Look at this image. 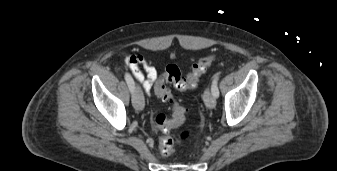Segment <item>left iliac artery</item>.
Masks as SVG:
<instances>
[{"mask_svg":"<svg viewBox=\"0 0 337 171\" xmlns=\"http://www.w3.org/2000/svg\"><path fill=\"white\" fill-rule=\"evenodd\" d=\"M219 77H220V73H217L213 76V79H212V85H211V92L213 94L214 97H218L219 96V90H218V80H219Z\"/></svg>","mask_w":337,"mask_h":171,"instance_id":"1","label":"left iliac artery"}]
</instances>
